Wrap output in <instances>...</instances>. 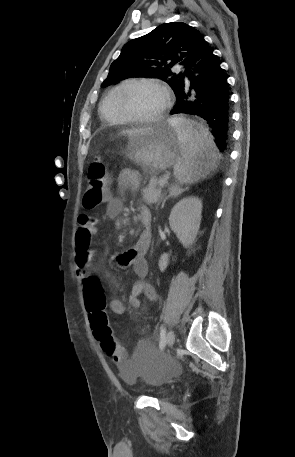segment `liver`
<instances>
[{"instance_id":"liver-1","label":"liver","mask_w":295,"mask_h":457,"mask_svg":"<svg viewBox=\"0 0 295 457\" xmlns=\"http://www.w3.org/2000/svg\"><path fill=\"white\" fill-rule=\"evenodd\" d=\"M154 127L134 128L122 131L121 133L127 135L130 139H134L140 135H144L152 131Z\"/></svg>"}]
</instances>
